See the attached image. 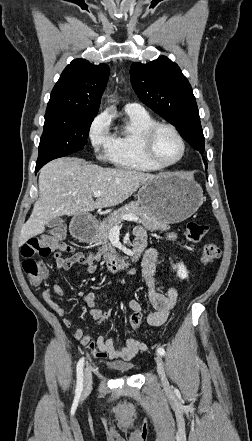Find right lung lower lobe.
Listing matches in <instances>:
<instances>
[{
    "label": "right lung lower lobe",
    "instance_id": "98d812e1",
    "mask_svg": "<svg viewBox=\"0 0 252 441\" xmlns=\"http://www.w3.org/2000/svg\"><path fill=\"white\" fill-rule=\"evenodd\" d=\"M43 165H36V169H35V172L37 173L38 172V170L42 167Z\"/></svg>",
    "mask_w": 252,
    "mask_h": 441
}]
</instances>
